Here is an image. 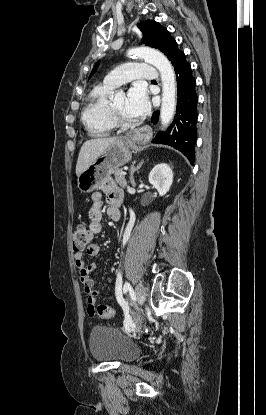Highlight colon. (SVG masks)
Instances as JSON below:
<instances>
[{
  "mask_svg": "<svg viewBox=\"0 0 266 415\" xmlns=\"http://www.w3.org/2000/svg\"><path fill=\"white\" fill-rule=\"evenodd\" d=\"M92 240V231L90 228L79 225L75 228L73 233V250L81 251L84 250ZM114 315V310L108 305H98L91 311V316L98 319H110Z\"/></svg>",
  "mask_w": 266,
  "mask_h": 415,
  "instance_id": "colon-1",
  "label": "colon"
}]
</instances>
